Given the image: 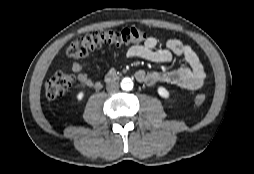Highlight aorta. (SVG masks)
<instances>
[{
	"label": "aorta",
	"mask_w": 254,
	"mask_h": 174,
	"mask_svg": "<svg viewBox=\"0 0 254 174\" xmlns=\"http://www.w3.org/2000/svg\"><path fill=\"white\" fill-rule=\"evenodd\" d=\"M121 88L126 91L132 90V88H133L132 80L130 78H124L121 81Z\"/></svg>",
	"instance_id": "1"
}]
</instances>
